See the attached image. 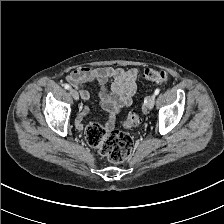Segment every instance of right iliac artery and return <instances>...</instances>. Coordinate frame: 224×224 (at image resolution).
<instances>
[{"label": "right iliac artery", "instance_id": "right-iliac-artery-1", "mask_svg": "<svg viewBox=\"0 0 224 224\" xmlns=\"http://www.w3.org/2000/svg\"><path fill=\"white\" fill-rule=\"evenodd\" d=\"M64 88L67 89V90H69L71 87H70V85L65 84V85H64Z\"/></svg>", "mask_w": 224, "mask_h": 224}]
</instances>
